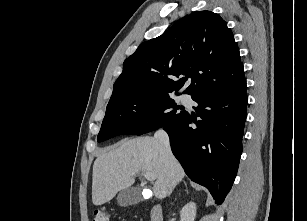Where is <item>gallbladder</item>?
<instances>
[{
	"mask_svg": "<svg viewBox=\"0 0 307 221\" xmlns=\"http://www.w3.org/2000/svg\"><path fill=\"white\" fill-rule=\"evenodd\" d=\"M141 200V190L138 187L123 189L117 196V202L120 206H130L137 204Z\"/></svg>",
	"mask_w": 307,
	"mask_h": 221,
	"instance_id": "bac80fb5",
	"label": "gallbladder"
}]
</instances>
